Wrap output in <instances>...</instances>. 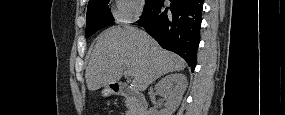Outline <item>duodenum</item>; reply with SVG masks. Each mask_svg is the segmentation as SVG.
Returning <instances> with one entry per match:
<instances>
[{"label":"duodenum","instance_id":"1","mask_svg":"<svg viewBox=\"0 0 285 115\" xmlns=\"http://www.w3.org/2000/svg\"><path fill=\"white\" fill-rule=\"evenodd\" d=\"M113 94L127 97L132 103V115H147L148 107L145 98L137 90L132 89L128 84L123 82H114L111 85Z\"/></svg>","mask_w":285,"mask_h":115}]
</instances>
